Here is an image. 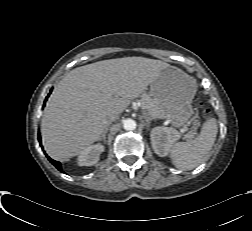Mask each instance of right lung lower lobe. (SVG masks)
<instances>
[{"mask_svg": "<svg viewBox=\"0 0 252 231\" xmlns=\"http://www.w3.org/2000/svg\"><path fill=\"white\" fill-rule=\"evenodd\" d=\"M48 96H49V95H48ZM48 96L46 97V100H47ZM44 105H45V104H44ZM39 142H40V145H41V140H40V138H39ZM48 160H49L59 171H62V167H61L60 162L55 161V160L51 159L50 157H48Z\"/></svg>", "mask_w": 252, "mask_h": 231, "instance_id": "1", "label": "right lung lower lobe"}]
</instances>
